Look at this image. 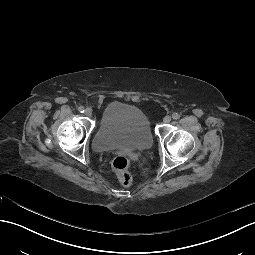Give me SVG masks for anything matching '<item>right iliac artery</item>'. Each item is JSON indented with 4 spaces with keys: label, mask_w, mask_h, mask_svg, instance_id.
<instances>
[{
    "label": "right iliac artery",
    "mask_w": 255,
    "mask_h": 255,
    "mask_svg": "<svg viewBox=\"0 0 255 255\" xmlns=\"http://www.w3.org/2000/svg\"><path fill=\"white\" fill-rule=\"evenodd\" d=\"M78 111H79L80 113H83V112H84V107H83V106L78 107Z\"/></svg>",
    "instance_id": "82829eb1"
}]
</instances>
